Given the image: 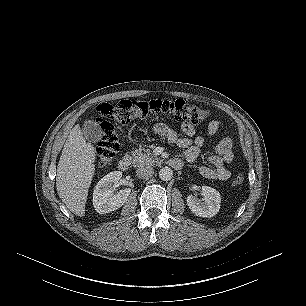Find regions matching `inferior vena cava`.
Returning <instances> with one entry per match:
<instances>
[{"label":"inferior vena cava","instance_id":"602c4592","mask_svg":"<svg viewBox=\"0 0 306 306\" xmlns=\"http://www.w3.org/2000/svg\"><path fill=\"white\" fill-rule=\"evenodd\" d=\"M136 174L139 178L148 179L154 174V169L151 166H141L137 168Z\"/></svg>","mask_w":306,"mask_h":306}]
</instances>
